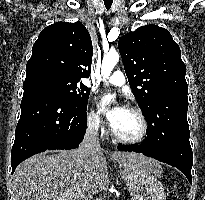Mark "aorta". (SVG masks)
I'll return each instance as SVG.
<instances>
[{"instance_id": "aorta-1", "label": "aorta", "mask_w": 205, "mask_h": 200, "mask_svg": "<svg viewBox=\"0 0 205 200\" xmlns=\"http://www.w3.org/2000/svg\"><path fill=\"white\" fill-rule=\"evenodd\" d=\"M119 53L115 50L109 51L106 53L102 60V66H101V74L103 76L104 81L106 82V79L109 78L114 66L119 61ZM114 99L113 95H106L103 99L104 104H109Z\"/></svg>"}]
</instances>
